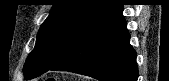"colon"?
<instances>
[{"instance_id":"obj_1","label":"colon","mask_w":169,"mask_h":81,"mask_svg":"<svg viewBox=\"0 0 169 81\" xmlns=\"http://www.w3.org/2000/svg\"><path fill=\"white\" fill-rule=\"evenodd\" d=\"M46 81H56V80L53 77H49V78L46 79Z\"/></svg>"}]
</instances>
